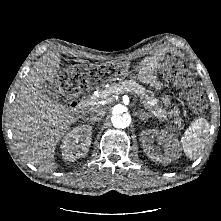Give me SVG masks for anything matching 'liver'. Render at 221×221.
Returning a JSON list of instances; mask_svg holds the SVG:
<instances>
[{"instance_id": "obj_1", "label": "liver", "mask_w": 221, "mask_h": 221, "mask_svg": "<svg viewBox=\"0 0 221 221\" xmlns=\"http://www.w3.org/2000/svg\"><path fill=\"white\" fill-rule=\"evenodd\" d=\"M59 65V54L54 52L44 54L33 65L22 81L9 116L19 154L43 171L56 168L57 144L80 118L79 113L50 99L43 91V84L57 77Z\"/></svg>"}]
</instances>
